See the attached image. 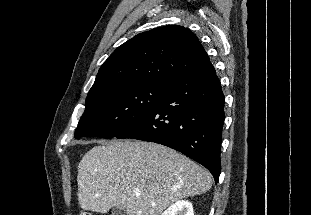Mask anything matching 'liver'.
I'll return each mask as SVG.
<instances>
[{"mask_svg":"<svg viewBox=\"0 0 311 215\" xmlns=\"http://www.w3.org/2000/svg\"><path fill=\"white\" fill-rule=\"evenodd\" d=\"M77 183L83 210L105 214L120 207L127 215H159L173 202L207 192L212 178L193 160L160 144L114 140L83 156Z\"/></svg>","mask_w":311,"mask_h":215,"instance_id":"liver-1","label":"liver"}]
</instances>
